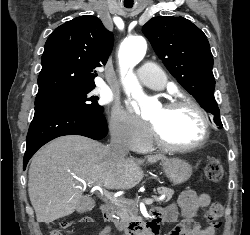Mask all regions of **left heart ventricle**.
Masks as SVG:
<instances>
[{"label": "left heart ventricle", "instance_id": "b2bd125f", "mask_svg": "<svg viewBox=\"0 0 250 235\" xmlns=\"http://www.w3.org/2000/svg\"><path fill=\"white\" fill-rule=\"evenodd\" d=\"M148 120L158 128L166 141L175 145L191 144L202 132L199 114L188 106L171 110L158 107L148 116Z\"/></svg>", "mask_w": 250, "mask_h": 235}]
</instances>
